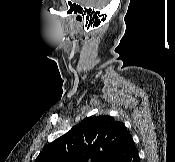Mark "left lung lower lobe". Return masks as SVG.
<instances>
[{
    "label": "left lung lower lobe",
    "instance_id": "1",
    "mask_svg": "<svg viewBox=\"0 0 175 162\" xmlns=\"http://www.w3.org/2000/svg\"><path fill=\"white\" fill-rule=\"evenodd\" d=\"M109 162H139L138 151L129 132L116 147Z\"/></svg>",
    "mask_w": 175,
    "mask_h": 162
}]
</instances>
